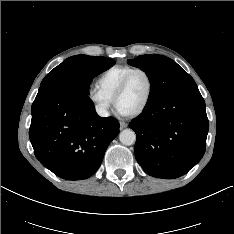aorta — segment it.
Returning a JSON list of instances; mask_svg holds the SVG:
<instances>
[{
    "label": "aorta",
    "mask_w": 234,
    "mask_h": 234,
    "mask_svg": "<svg viewBox=\"0 0 234 234\" xmlns=\"http://www.w3.org/2000/svg\"><path fill=\"white\" fill-rule=\"evenodd\" d=\"M119 140L123 145L130 146L136 141V134L131 129H124L119 134Z\"/></svg>",
    "instance_id": "obj_1"
}]
</instances>
